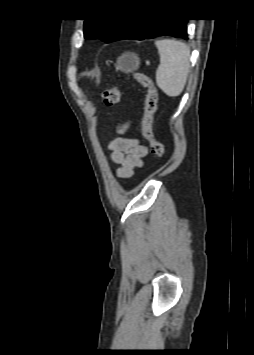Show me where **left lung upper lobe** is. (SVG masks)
<instances>
[{
  "instance_id": "left-lung-upper-lobe-1",
  "label": "left lung upper lobe",
  "mask_w": 254,
  "mask_h": 355,
  "mask_svg": "<svg viewBox=\"0 0 254 355\" xmlns=\"http://www.w3.org/2000/svg\"><path fill=\"white\" fill-rule=\"evenodd\" d=\"M130 19H95L85 20L84 37L99 38L105 42L115 41L120 37Z\"/></svg>"
}]
</instances>
